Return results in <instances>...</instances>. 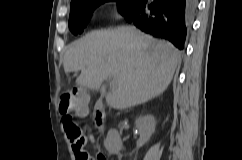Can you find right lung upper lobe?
<instances>
[{
    "label": "right lung upper lobe",
    "instance_id": "right-lung-upper-lobe-1",
    "mask_svg": "<svg viewBox=\"0 0 242 160\" xmlns=\"http://www.w3.org/2000/svg\"><path fill=\"white\" fill-rule=\"evenodd\" d=\"M77 1H80V0H71V4L74 3V2H77Z\"/></svg>",
    "mask_w": 242,
    "mask_h": 160
}]
</instances>
